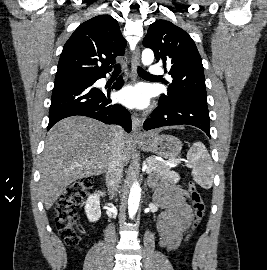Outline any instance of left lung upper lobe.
I'll return each mask as SVG.
<instances>
[{
	"label": "left lung upper lobe",
	"mask_w": 267,
	"mask_h": 270,
	"mask_svg": "<svg viewBox=\"0 0 267 270\" xmlns=\"http://www.w3.org/2000/svg\"><path fill=\"white\" fill-rule=\"evenodd\" d=\"M146 48L153 50L157 61L173 78L168 83L167 95L160 101H195L207 104V93L202 60L192 38L180 27L166 20H158L149 26L143 40Z\"/></svg>",
	"instance_id": "left-lung-upper-lobe-1"
}]
</instances>
